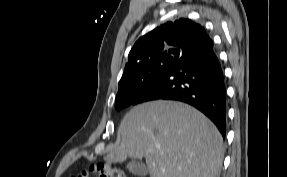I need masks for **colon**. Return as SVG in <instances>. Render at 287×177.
Segmentation results:
<instances>
[{"instance_id":"obj_1","label":"colon","mask_w":287,"mask_h":177,"mask_svg":"<svg viewBox=\"0 0 287 177\" xmlns=\"http://www.w3.org/2000/svg\"><path fill=\"white\" fill-rule=\"evenodd\" d=\"M126 177L125 173L117 167L109 164L100 163L74 174L73 177Z\"/></svg>"}]
</instances>
